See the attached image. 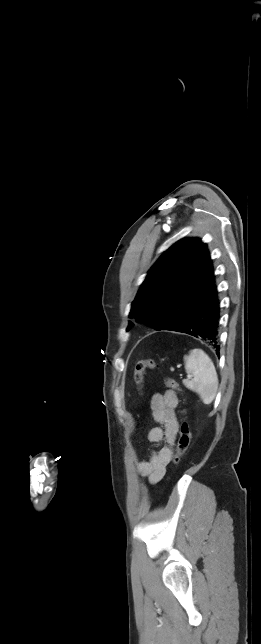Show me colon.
<instances>
[{"instance_id": "5ec220e1", "label": "colon", "mask_w": 261, "mask_h": 644, "mask_svg": "<svg viewBox=\"0 0 261 644\" xmlns=\"http://www.w3.org/2000/svg\"><path fill=\"white\" fill-rule=\"evenodd\" d=\"M157 367L156 362L153 359H143L139 360L134 367V379L138 385H142L144 382V375L148 369H155ZM165 385L173 390H178V382L170 377L165 379ZM191 441V432L190 427L187 421H183L179 429V440L177 448L173 453V462H179L180 458L187 451Z\"/></svg>"}]
</instances>
